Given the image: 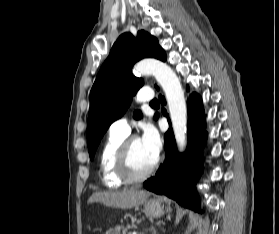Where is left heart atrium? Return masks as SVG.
I'll use <instances>...</instances> for the list:
<instances>
[{
    "label": "left heart atrium",
    "instance_id": "1",
    "mask_svg": "<svg viewBox=\"0 0 279 234\" xmlns=\"http://www.w3.org/2000/svg\"><path fill=\"white\" fill-rule=\"evenodd\" d=\"M140 140L146 149L157 159L161 150V138L156 128L151 124H145Z\"/></svg>",
    "mask_w": 279,
    "mask_h": 234
}]
</instances>
